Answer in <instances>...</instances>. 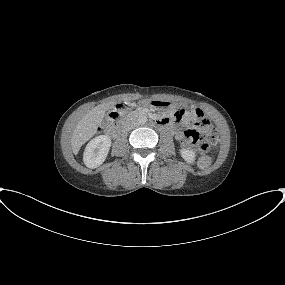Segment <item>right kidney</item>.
<instances>
[{"label": "right kidney", "instance_id": "ca27d5eb", "mask_svg": "<svg viewBox=\"0 0 285 285\" xmlns=\"http://www.w3.org/2000/svg\"><path fill=\"white\" fill-rule=\"evenodd\" d=\"M111 147V139L100 135L92 139L86 146L83 161L88 168L100 166L106 159Z\"/></svg>", "mask_w": 285, "mask_h": 285}]
</instances>
